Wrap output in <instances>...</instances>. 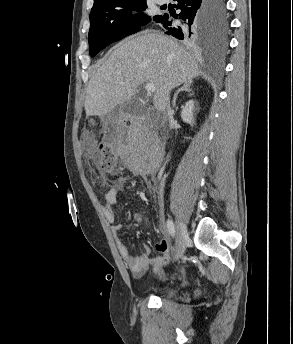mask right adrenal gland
<instances>
[{"label": "right adrenal gland", "instance_id": "1", "mask_svg": "<svg viewBox=\"0 0 293 344\" xmlns=\"http://www.w3.org/2000/svg\"><path fill=\"white\" fill-rule=\"evenodd\" d=\"M191 85H192V81L184 83V85L176 91L174 98H173V108H175V106H176V100H177V97H178L180 92H182V91H185L188 93L192 92V89L190 88Z\"/></svg>", "mask_w": 293, "mask_h": 344}]
</instances>
